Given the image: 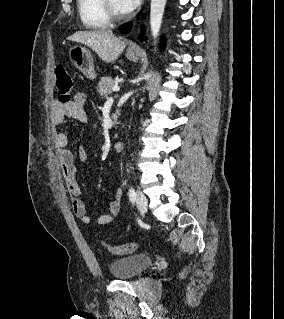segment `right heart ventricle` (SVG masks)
<instances>
[{"instance_id": "1", "label": "right heart ventricle", "mask_w": 284, "mask_h": 319, "mask_svg": "<svg viewBox=\"0 0 284 319\" xmlns=\"http://www.w3.org/2000/svg\"><path fill=\"white\" fill-rule=\"evenodd\" d=\"M77 8L83 25L89 29H105L110 19L105 12L103 0H77Z\"/></svg>"}]
</instances>
